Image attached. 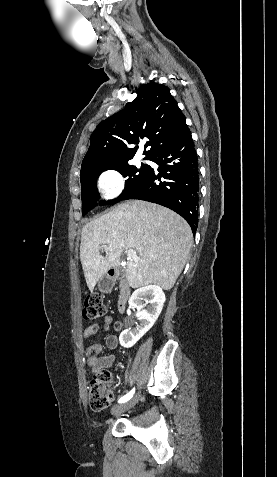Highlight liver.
<instances>
[{
    "mask_svg": "<svg viewBox=\"0 0 277 477\" xmlns=\"http://www.w3.org/2000/svg\"><path fill=\"white\" fill-rule=\"evenodd\" d=\"M193 235L177 213L158 204L130 200L86 223L81 232L80 260L87 286L120 265L123 250L139 256L131 259L126 279L132 288L157 285L170 290L188 259ZM105 246L106 256L100 254Z\"/></svg>",
    "mask_w": 277,
    "mask_h": 477,
    "instance_id": "6515ba94",
    "label": "liver"
}]
</instances>
